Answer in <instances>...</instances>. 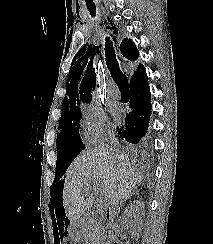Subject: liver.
Returning <instances> with one entry per match:
<instances>
[{"mask_svg":"<svg viewBox=\"0 0 213 244\" xmlns=\"http://www.w3.org/2000/svg\"><path fill=\"white\" fill-rule=\"evenodd\" d=\"M143 179L122 151L108 145L89 149L80 154L66 172L62 195L66 216L75 222L92 206L93 194L85 197L98 181L103 184L108 205L126 199Z\"/></svg>","mask_w":213,"mask_h":244,"instance_id":"liver-1","label":"liver"}]
</instances>
